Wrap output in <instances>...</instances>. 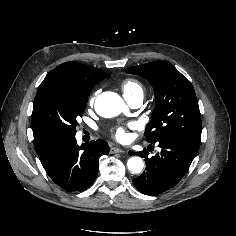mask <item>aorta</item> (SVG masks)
<instances>
[{
    "mask_svg": "<svg viewBox=\"0 0 236 236\" xmlns=\"http://www.w3.org/2000/svg\"><path fill=\"white\" fill-rule=\"evenodd\" d=\"M95 109L99 115L111 118L119 115L125 109V104L118 94L103 92L96 98ZM127 167L133 174L140 173L144 167L142 158L131 157L127 162Z\"/></svg>",
    "mask_w": 236,
    "mask_h": 236,
    "instance_id": "762f6f07",
    "label": "aorta"
}]
</instances>
